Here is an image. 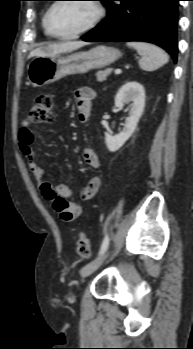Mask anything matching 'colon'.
Returning <instances> with one entry per match:
<instances>
[{"label":"colon","instance_id":"1","mask_svg":"<svg viewBox=\"0 0 193 349\" xmlns=\"http://www.w3.org/2000/svg\"><path fill=\"white\" fill-rule=\"evenodd\" d=\"M55 119V109L53 99L49 94L37 96L27 115L30 123H50ZM76 252L83 259L91 257V246L88 238L83 232L76 236Z\"/></svg>","mask_w":193,"mask_h":349}]
</instances>
